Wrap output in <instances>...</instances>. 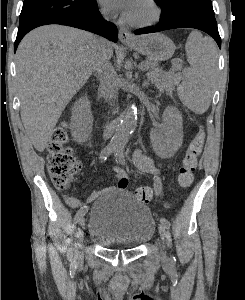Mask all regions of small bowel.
<instances>
[{"mask_svg": "<svg viewBox=\"0 0 245 300\" xmlns=\"http://www.w3.org/2000/svg\"><path fill=\"white\" fill-rule=\"evenodd\" d=\"M132 160L134 165L142 172L149 173L151 175H159L161 174V169L155 166L153 160L145 155L141 150H136L133 153ZM116 178L118 181L117 187L119 189H126L128 187V181L129 177L127 172L115 168ZM103 193V190H98L92 192L88 198V202H92L95 199H97L101 194ZM66 203L72 207V208H78L81 206V201L74 195L68 194L65 197ZM82 208V207H81ZM80 208V209H81Z\"/></svg>", "mask_w": 245, "mask_h": 300, "instance_id": "obj_1", "label": "small bowel"}]
</instances>
